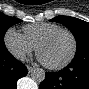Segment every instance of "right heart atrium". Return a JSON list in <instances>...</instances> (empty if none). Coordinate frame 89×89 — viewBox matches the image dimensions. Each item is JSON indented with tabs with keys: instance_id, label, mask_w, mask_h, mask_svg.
<instances>
[{
	"instance_id": "obj_1",
	"label": "right heart atrium",
	"mask_w": 89,
	"mask_h": 89,
	"mask_svg": "<svg viewBox=\"0 0 89 89\" xmlns=\"http://www.w3.org/2000/svg\"><path fill=\"white\" fill-rule=\"evenodd\" d=\"M3 40L7 50L19 60H23L36 48L22 33L13 27L5 31Z\"/></svg>"
}]
</instances>
